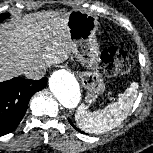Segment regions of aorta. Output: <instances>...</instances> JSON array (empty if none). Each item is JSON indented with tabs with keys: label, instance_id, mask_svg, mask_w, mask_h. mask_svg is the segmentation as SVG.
I'll use <instances>...</instances> for the list:
<instances>
[{
	"label": "aorta",
	"instance_id": "aorta-1",
	"mask_svg": "<svg viewBox=\"0 0 153 153\" xmlns=\"http://www.w3.org/2000/svg\"><path fill=\"white\" fill-rule=\"evenodd\" d=\"M49 88L58 102L66 109H72L80 101V87L76 78L68 72H57L49 79Z\"/></svg>",
	"mask_w": 153,
	"mask_h": 153
}]
</instances>
